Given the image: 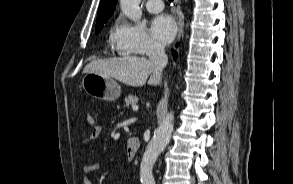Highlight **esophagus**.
I'll list each match as a JSON object with an SVG mask.
<instances>
[{
  "mask_svg": "<svg viewBox=\"0 0 293 184\" xmlns=\"http://www.w3.org/2000/svg\"><path fill=\"white\" fill-rule=\"evenodd\" d=\"M175 8H176L178 19H179L178 40H180L184 32V15L180 8V0H175Z\"/></svg>",
  "mask_w": 293,
  "mask_h": 184,
  "instance_id": "esophagus-1",
  "label": "esophagus"
}]
</instances>
